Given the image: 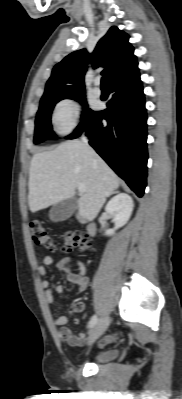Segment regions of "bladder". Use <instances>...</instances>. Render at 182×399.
Segmentation results:
<instances>
[{
    "label": "bladder",
    "instance_id": "obj_1",
    "mask_svg": "<svg viewBox=\"0 0 182 399\" xmlns=\"http://www.w3.org/2000/svg\"><path fill=\"white\" fill-rule=\"evenodd\" d=\"M118 355H119L118 350L102 351L94 356L93 361L96 363H104L116 359Z\"/></svg>",
    "mask_w": 182,
    "mask_h": 399
}]
</instances>
